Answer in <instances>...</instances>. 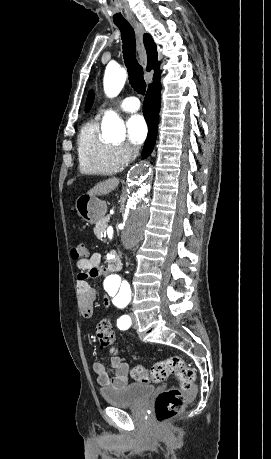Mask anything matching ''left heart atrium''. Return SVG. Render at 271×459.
<instances>
[{
  "instance_id": "1",
  "label": "left heart atrium",
  "mask_w": 271,
  "mask_h": 459,
  "mask_svg": "<svg viewBox=\"0 0 271 459\" xmlns=\"http://www.w3.org/2000/svg\"><path fill=\"white\" fill-rule=\"evenodd\" d=\"M147 125L141 115H133L127 121V136L131 144L138 146L144 142L147 136Z\"/></svg>"
}]
</instances>
